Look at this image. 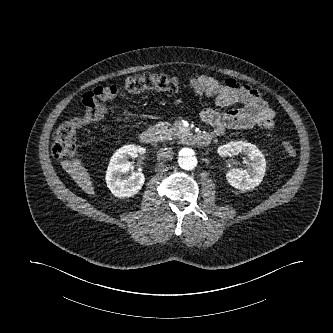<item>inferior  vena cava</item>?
Listing matches in <instances>:
<instances>
[{
    "mask_svg": "<svg viewBox=\"0 0 333 333\" xmlns=\"http://www.w3.org/2000/svg\"><path fill=\"white\" fill-rule=\"evenodd\" d=\"M174 152L171 148H161L157 152V159L160 161H168L173 158Z\"/></svg>",
    "mask_w": 333,
    "mask_h": 333,
    "instance_id": "1",
    "label": "inferior vena cava"
}]
</instances>
